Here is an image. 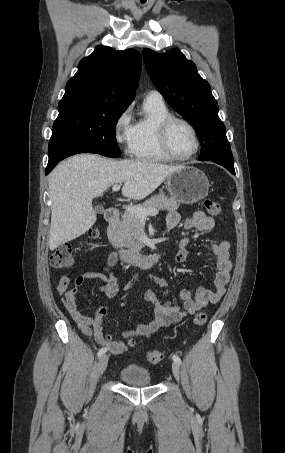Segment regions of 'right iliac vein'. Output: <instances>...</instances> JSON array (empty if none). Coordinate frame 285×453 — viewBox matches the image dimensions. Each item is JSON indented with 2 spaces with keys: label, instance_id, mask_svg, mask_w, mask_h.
<instances>
[{
  "label": "right iliac vein",
  "instance_id": "1",
  "mask_svg": "<svg viewBox=\"0 0 285 453\" xmlns=\"http://www.w3.org/2000/svg\"><path fill=\"white\" fill-rule=\"evenodd\" d=\"M107 364H108V356L103 354L100 357L99 362H98L99 374H103L104 373V371L106 370Z\"/></svg>",
  "mask_w": 285,
  "mask_h": 453
}]
</instances>
